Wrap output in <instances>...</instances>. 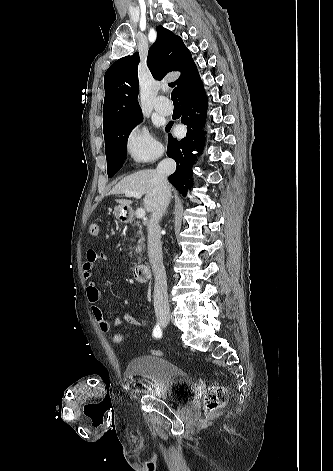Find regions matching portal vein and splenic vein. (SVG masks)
<instances>
[{
  "label": "portal vein and splenic vein",
  "instance_id": "1",
  "mask_svg": "<svg viewBox=\"0 0 333 471\" xmlns=\"http://www.w3.org/2000/svg\"><path fill=\"white\" fill-rule=\"evenodd\" d=\"M125 195L127 197H136V198H141V196H142V194L140 192H127ZM136 217L137 218H144L145 217V209L138 208L136 210Z\"/></svg>",
  "mask_w": 333,
  "mask_h": 471
}]
</instances>
